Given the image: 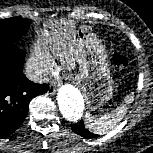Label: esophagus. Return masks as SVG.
<instances>
[{"label": "esophagus", "instance_id": "obj_1", "mask_svg": "<svg viewBox=\"0 0 153 153\" xmlns=\"http://www.w3.org/2000/svg\"><path fill=\"white\" fill-rule=\"evenodd\" d=\"M56 93V85L55 82H53L48 89V94L49 95H54Z\"/></svg>", "mask_w": 153, "mask_h": 153}]
</instances>
